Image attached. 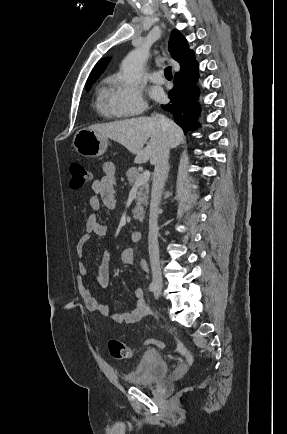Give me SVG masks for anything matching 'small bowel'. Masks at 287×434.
Segmentation results:
<instances>
[{
    "label": "small bowel",
    "mask_w": 287,
    "mask_h": 434,
    "mask_svg": "<svg viewBox=\"0 0 287 434\" xmlns=\"http://www.w3.org/2000/svg\"><path fill=\"white\" fill-rule=\"evenodd\" d=\"M103 176L95 179L91 188L93 195L89 198V207L93 212H98L101 208L113 209L116 207V168L112 162L104 163ZM92 235L101 238H106L109 235L107 225L98 222L95 214L91 215L85 225V232L79 237L76 245L78 255L82 256L87 243ZM120 261L122 264L130 266L134 263V251L131 248H125L121 251ZM88 276V268L84 261H80L77 265V285L81 297L84 299L87 308L94 313L102 314L108 317L114 324H135L147 316V308L144 299V293L141 288H137L134 292L135 305L134 308L127 313L113 312L107 305L103 304L90 290L86 284ZM95 282L106 287L110 280V253L105 250L99 267L98 273L94 278Z\"/></svg>",
    "instance_id": "1"
}]
</instances>
